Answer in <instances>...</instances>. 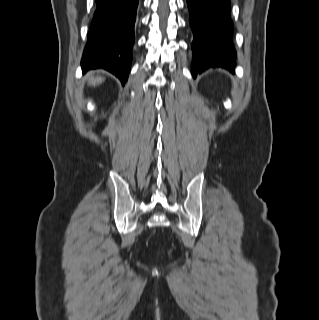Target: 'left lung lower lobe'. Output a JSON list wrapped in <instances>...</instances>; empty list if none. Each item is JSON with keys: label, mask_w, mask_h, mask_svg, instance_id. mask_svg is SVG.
<instances>
[{"label": "left lung lower lobe", "mask_w": 319, "mask_h": 320, "mask_svg": "<svg viewBox=\"0 0 319 320\" xmlns=\"http://www.w3.org/2000/svg\"><path fill=\"white\" fill-rule=\"evenodd\" d=\"M187 5L194 36L192 75L209 67L233 72L237 54L232 43L230 0H187Z\"/></svg>", "instance_id": "1"}]
</instances>
